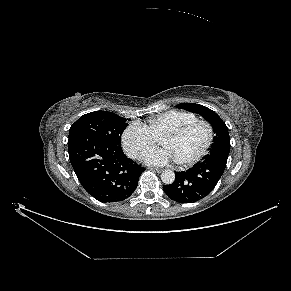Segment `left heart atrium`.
<instances>
[{
    "label": "left heart atrium",
    "mask_w": 291,
    "mask_h": 291,
    "mask_svg": "<svg viewBox=\"0 0 291 291\" xmlns=\"http://www.w3.org/2000/svg\"><path fill=\"white\" fill-rule=\"evenodd\" d=\"M143 160L146 164L154 166H164L177 161L174 153L167 147L148 151Z\"/></svg>",
    "instance_id": "1"
}]
</instances>
